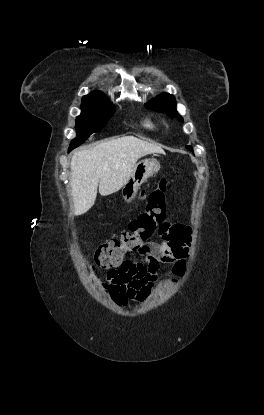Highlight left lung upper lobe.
<instances>
[{
  "instance_id": "obj_1",
  "label": "left lung upper lobe",
  "mask_w": 264,
  "mask_h": 415,
  "mask_svg": "<svg viewBox=\"0 0 264 415\" xmlns=\"http://www.w3.org/2000/svg\"><path fill=\"white\" fill-rule=\"evenodd\" d=\"M146 106L152 110L165 112L171 118H178L179 121H183V118L178 114L176 110V100L171 94L162 93L152 101L148 102ZM186 148L193 151L192 146H186Z\"/></svg>"
}]
</instances>
